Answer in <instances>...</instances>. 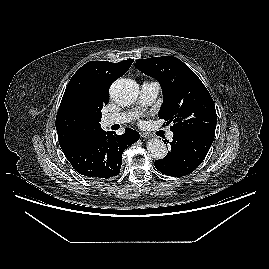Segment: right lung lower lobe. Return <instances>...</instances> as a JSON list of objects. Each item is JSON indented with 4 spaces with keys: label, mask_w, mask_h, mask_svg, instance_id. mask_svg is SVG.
Returning <instances> with one entry per match:
<instances>
[{
    "label": "right lung lower lobe",
    "mask_w": 269,
    "mask_h": 269,
    "mask_svg": "<svg viewBox=\"0 0 269 269\" xmlns=\"http://www.w3.org/2000/svg\"><path fill=\"white\" fill-rule=\"evenodd\" d=\"M138 139L139 133L131 128L123 135L100 130L62 150L79 174L104 180L120 173L123 151Z\"/></svg>",
    "instance_id": "right-lung-lower-lobe-1"
}]
</instances>
